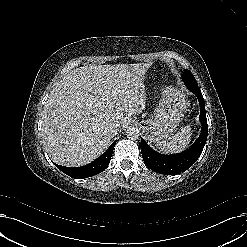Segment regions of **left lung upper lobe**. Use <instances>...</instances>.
I'll list each match as a JSON object with an SVG mask.
<instances>
[{
    "mask_svg": "<svg viewBox=\"0 0 247 247\" xmlns=\"http://www.w3.org/2000/svg\"><path fill=\"white\" fill-rule=\"evenodd\" d=\"M182 80L184 81L185 85H197V81L195 80L193 74L187 69L184 71Z\"/></svg>",
    "mask_w": 247,
    "mask_h": 247,
    "instance_id": "obj_1",
    "label": "left lung upper lobe"
}]
</instances>
